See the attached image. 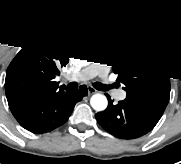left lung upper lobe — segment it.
I'll list each match as a JSON object with an SVG mask.
<instances>
[{
	"instance_id": "1",
	"label": "left lung upper lobe",
	"mask_w": 181,
	"mask_h": 164,
	"mask_svg": "<svg viewBox=\"0 0 181 164\" xmlns=\"http://www.w3.org/2000/svg\"><path fill=\"white\" fill-rule=\"evenodd\" d=\"M95 50L108 58L118 73L126 98L166 108L170 97V76L160 58L144 42L124 33L100 30L93 39Z\"/></svg>"
}]
</instances>
